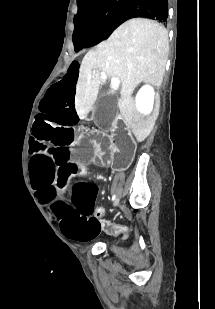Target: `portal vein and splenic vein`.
Listing matches in <instances>:
<instances>
[{
    "instance_id": "portal-vein-and-splenic-vein-1",
    "label": "portal vein and splenic vein",
    "mask_w": 215,
    "mask_h": 309,
    "mask_svg": "<svg viewBox=\"0 0 215 309\" xmlns=\"http://www.w3.org/2000/svg\"><path fill=\"white\" fill-rule=\"evenodd\" d=\"M102 76H104L105 72H101ZM106 76V74H105ZM119 78H111V86H119Z\"/></svg>"
}]
</instances>
